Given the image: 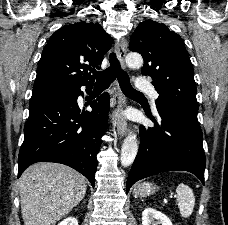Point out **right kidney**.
<instances>
[{
  "label": "right kidney",
  "mask_w": 228,
  "mask_h": 225,
  "mask_svg": "<svg viewBox=\"0 0 228 225\" xmlns=\"http://www.w3.org/2000/svg\"><path fill=\"white\" fill-rule=\"evenodd\" d=\"M59 225H78V221H76L75 217H67V219L61 221Z\"/></svg>",
  "instance_id": "right-kidney-1"
}]
</instances>
